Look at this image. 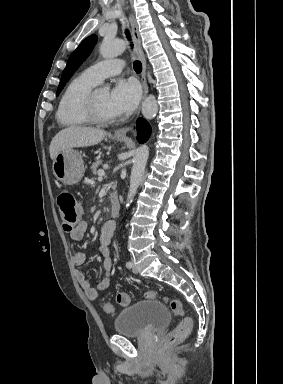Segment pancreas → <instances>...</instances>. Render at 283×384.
<instances>
[{"label":"pancreas","mask_w":283,"mask_h":384,"mask_svg":"<svg viewBox=\"0 0 283 384\" xmlns=\"http://www.w3.org/2000/svg\"><path fill=\"white\" fill-rule=\"evenodd\" d=\"M100 164H102V160H96V162H94V164H92L91 170H92L93 174H96L97 168H99Z\"/></svg>","instance_id":"1"}]
</instances>
